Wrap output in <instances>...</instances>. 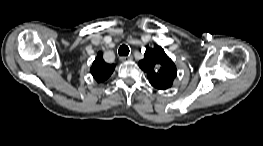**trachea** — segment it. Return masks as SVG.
<instances>
[{"instance_id":"3493384b","label":"trachea","mask_w":263,"mask_h":146,"mask_svg":"<svg viewBox=\"0 0 263 146\" xmlns=\"http://www.w3.org/2000/svg\"><path fill=\"white\" fill-rule=\"evenodd\" d=\"M130 50L128 46L122 45L119 47L118 53L120 56H127L129 54Z\"/></svg>"}]
</instances>
